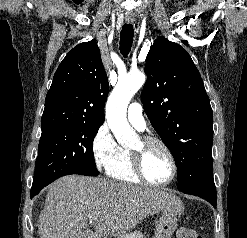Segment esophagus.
Segmentation results:
<instances>
[{"instance_id": "1", "label": "esophagus", "mask_w": 247, "mask_h": 238, "mask_svg": "<svg viewBox=\"0 0 247 238\" xmlns=\"http://www.w3.org/2000/svg\"><path fill=\"white\" fill-rule=\"evenodd\" d=\"M126 22L131 24L133 21L132 20H126Z\"/></svg>"}]
</instances>
